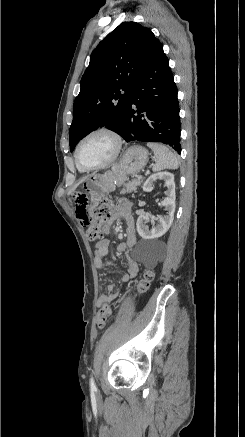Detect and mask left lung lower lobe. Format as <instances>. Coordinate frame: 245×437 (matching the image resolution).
<instances>
[{
    "mask_svg": "<svg viewBox=\"0 0 245 437\" xmlns=\"http://www.w3.org/2000/svg\"><path fill=\"white\" fill-rule=\"evenodd\" d=\"M177 87L169 60L158 44L130 92L123 138L159 142L181 153Z\"/></svg>",
    "mask_w": 245,
    "mask_h": 437,
    "instance_id": "0a47b994",
    "label": "left lung lower lobe"
}]
</instances>
